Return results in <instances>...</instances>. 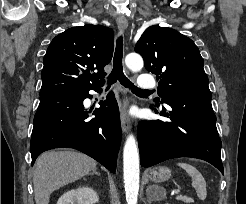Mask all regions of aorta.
I'll return each mask as SVG.
<instances>
[{"label":"aorta","instance_id":"1","mask_svg":"<svg viewBox=\"0 0 246 204\" xmlns=\"http://www.w3.org/2000/svg\"><path fill=\"white\" fill-rule=\"evenodd\" d=\"M126 66L133 72L140 71L144 62L139 54L131 53L125 58ZM124 187L127 204H137L139 192V152L135 137H127L123 149Z\"/></svg>","mask_w":246,"mask_h":204}]
</instances>
